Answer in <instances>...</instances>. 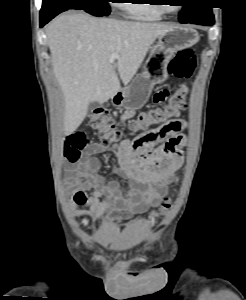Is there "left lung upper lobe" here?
<instances>
[{
  "instance_id": "obj_1",
  "label": "left lung upper lobe",
  "mask_w": 246,
  "mask_h": 300,
  "mask_svg": "<svg viewBox=\"0 0 246 300\" xmlns=\"http://www.w3.org/2000/svg\"><path fill=\"white\" fill-rule=\"evenodd\" d=\"M188 5L183 6L179 14L180 23L199 18L212 12L211 8L204 4V0H185Z\"/></svg>"
}]
</instances>
